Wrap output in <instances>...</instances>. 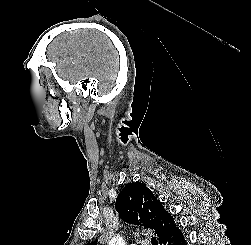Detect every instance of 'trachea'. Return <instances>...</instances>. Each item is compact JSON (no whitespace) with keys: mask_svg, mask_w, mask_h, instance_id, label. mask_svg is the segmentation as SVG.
Here are the masks:
<instances>
[{"mask_svg":"<svg viewBox=\"0 0 251 245\" xmlns=\"http://www.w3.org/2000/svg\"><path fill=\"white\" fill-rule=\"evenodd\" d=\"M151 243H152V245H158L156 237H152Z\"/></svg>","mask_w":251,"mask_h":245,"instance_id":"1","label":"trachea"}]
</instances>
